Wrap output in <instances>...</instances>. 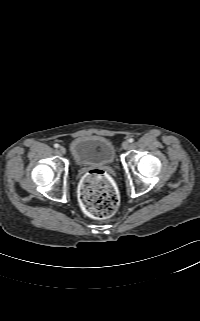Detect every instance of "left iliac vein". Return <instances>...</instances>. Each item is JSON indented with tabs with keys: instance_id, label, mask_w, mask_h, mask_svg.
Listing matches in <instances>:
<instances>
[{
	"instance_id": "left-iliac-vein-1",
	"label": "left iliac vein",
	"mask_w": 200,
	"mask_h": 321,
	"mask_svg": "<svg viewBox=\"0 0 200 321\" xmlns=\"http://www.w3.org/2000/svg\"><path fill=\"white\" fill-rule=\"evenodd\" d=\"M122 147H123V149H125V150L129 149V147H130L129 142H128V141H124V142L122 143Z\"/></svg>"
}]
</instances>
